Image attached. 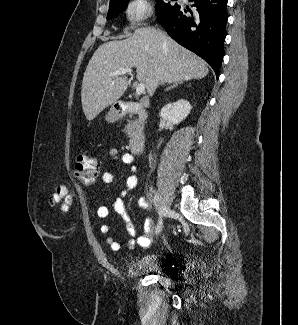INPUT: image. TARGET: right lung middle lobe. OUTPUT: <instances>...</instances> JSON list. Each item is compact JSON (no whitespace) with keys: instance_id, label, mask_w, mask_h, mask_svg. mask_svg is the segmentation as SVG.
<instances>
[{"instance_id":"right-lung-middle-lobe-1","label":"right lung middle lobe","mask_w":298,"mask_h":325,"mask_svg":"<svg viewBox=\"0 0 298 325\" xmlns=\"http://www.w3.org/2000/svg\"><path fill=\"white\" fill-rule=\"evenodd\" d=\"M128 1L129 0H115L113 2H110L107 19L110 20L116 17L122 11H124ZM156 2H157L156 8H157L158 15H161L163 12L171 9L174 6H177V4L172 6L170 3H166L163 0H156Z\"/></svg>"}]
</instances>
